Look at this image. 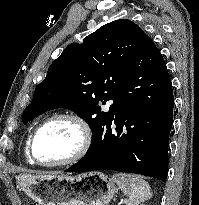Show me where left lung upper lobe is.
<instances>
[{"mask_svg":"<svg viewBox=\"0 0 199 205\" xmlns=\"http://www.w3.org/2000/svg\"><path fill=\"white\" fill-rule=\"evenodd\" d=\"M144 35L134 22L119 19L67 46L36 87L23 124L48 110L70 109L88 123L93 142L111 117L101 106L116 99Z\"/></svg>","mask_w":199,"mask_h":205,"instance_id":"obj_1","label":"left lung upper lobe"}]
</instances>
